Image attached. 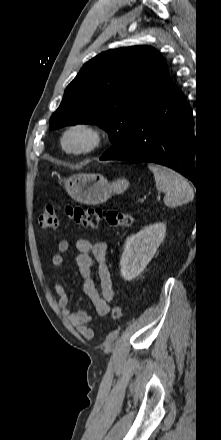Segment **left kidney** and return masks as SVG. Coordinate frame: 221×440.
Instances as JSON below:
<instances>
[{"mask_svg": "<svg viewBox=\"0 0 221 440\" xmlns=\"http://www.w3.org/2000/svg\"><path fill=\"white\" fill-rule=\"evenodd\" d=\"M166 225L155 223L127 238L120 259L121 276L131 281L148 265L165 237Z\"/></svg>", "mask_w": 221, "mask_h": 440, "instance_id": "5707ae66", "label": "left kidney"}]
</instances>
